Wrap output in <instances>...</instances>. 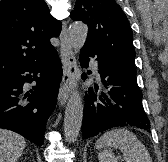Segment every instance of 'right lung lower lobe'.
I'll use <instances>...</instances> for the list:
<instances>
[{
  "label": "right lung lower lobe",
  "instance_id": "right-lung-lower-lobe-1",
  "mask_svg": "<svg viewBox=\"0 0 168 162\" xmlns=\"http://www.w3.org/2000/svg\"><path fill=\"white\" fill-rule=\"evenodd\" d=\"M62 66L54 51L47 59L0 77V128L15 131L42 145L49 113L54 110ZM36 82L29 92L24 83Z\"/></svg>",
  "mask_w": 168,
  "mask_h": 162
}]
</instances>
